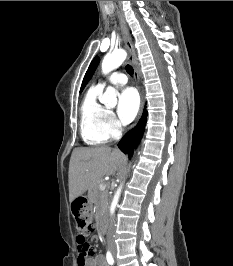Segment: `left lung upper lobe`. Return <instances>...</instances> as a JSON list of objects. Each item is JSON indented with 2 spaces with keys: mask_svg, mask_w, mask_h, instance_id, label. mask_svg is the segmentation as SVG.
Returning <instances> with one entry per match:
<instances>
[{
  "mask_svg": "<svg viewBox=\"0 0 233 266\" xmlns=\"http://www.w3.org/2000/svg\"><path fill=\"white\" fill-rule=\"evenodd\" d=\"M99 64V58L98 57H95L93 59V61L91 62L85 76H84V79H83V83H82V86H81V89H80V92L83 91L84 87L86 86V84L88 83V81L91 79V77L93 76L94 74V71L95 69L97 68Z\"/></svg>",
  "mask_w": 233,
  "mask_h": 266,
  "instance_id": "1",
  "label": "left lung upper lobe"
}]
</instances>
